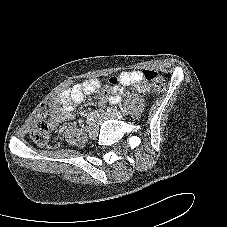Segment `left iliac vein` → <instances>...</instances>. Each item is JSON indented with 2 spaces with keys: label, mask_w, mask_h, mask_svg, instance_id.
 Instances as JSON below:
<instances>
[{
  "label": "left iliac vein",
  "mask_w": 227,
  "mask_h": 227,
  "mask_svg": "<svg viewBox=\"0 0 227 227\" xmlns=\"http://www.w3.org/2000/svg\"><path fill=\"white\" fill-rule=\"evenodd\" d=\"M122 117V114H120L119 116L118 115H115V114H111V113H105V114H102L99 118H98V120H97V122H98V124H101L104 120H106V119H119V118H121Z\"/></svg>",
  "instance_id": "4c4485c4"
}]
</instances>
